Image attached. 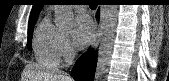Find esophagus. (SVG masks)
Listing matches in <instances>:
<instances>
[{"instance_id": "34e87169", "label": "esophagus", "mask_w": 169, "mask_h": 81, "mask_svg": "<svg viewBox=\"0 0 169 81\" xmlns=\"http://www.w3.org/2000/svg\"><path fill=\"white\" fill-rule=\"evenodd\" d=\"M102 19H103V7L98 5L95 12H94V21L96 32L94 38L91 42V48H96L100 42L101 35H102Z\"/></svg>"}]
</instances>
